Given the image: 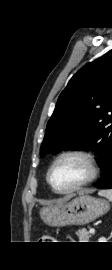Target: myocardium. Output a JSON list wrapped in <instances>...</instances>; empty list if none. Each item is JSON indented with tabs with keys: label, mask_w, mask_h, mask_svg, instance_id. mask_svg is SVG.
I'll return each mask as SVG.
<instances>
[{
	"label": "myocardium",
	"mask_w": 112,
	"mask_h": 270,
	"mask_svg": "<svg viewBox=\"0 0 112 270\" xmlns=\"http://www.w3.org/2000/svg\"><path fill=\"white\" fill-rule=\"evenodd\" d=\"M66 157L81 158L87 164L89 172H88L87 177L83 181L79 182L78 184H76V185H74L66 190H58L52 184L51 174H52V171L54 170V168L56 167V165L62 159L66 158ZM99 172H100V167H99L98 159L92 152L87 151V150H83V149H70V150H66V151L59 153L54 158V160L52 161L51 165L48 168V171L46 174V180H47V183L49 184V186L51 187V189L53 190V192H55L56 194H60V195H67V194L74 193L80 189H83L84 187L93 183L98 178Z\"/></svg>",
	"instance_id": "f54148a6"
}]
</instances>
